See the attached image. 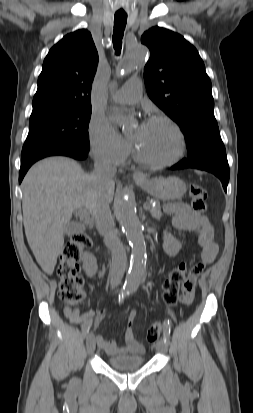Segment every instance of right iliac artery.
Here are the masks:
<instances>
[{"label": "right iliac artery", "instance_id": "obj_1", "mask_svg": "<svg viewBox=\"0 0 253 413\" xmlns=\"http://www.w3.org/2000/svg\"><path fill=\"white\" fill-rule=\"evenodd\" d=\"M126 295H128V292H126V291H121V293L119 294V302H122ZM89 329H90V326H88V327H86V328L83 329V335H84L85 337H86L87 334L89 333Z\"/></svg>", "mask_w": 253, "mask_h": 413}]
</instances>
